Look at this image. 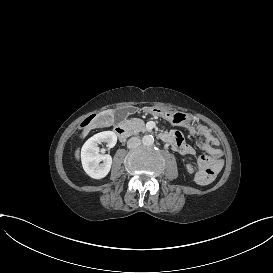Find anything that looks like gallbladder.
<instances>
[{
  "label": "gallbladder",
  "instance_id": "gallbladder-1",
  "mask_svg": "<svg viewBox=\"0 0 273 273\" xmlns=\"http://www.w3.org/2000/svg\"><path fill=\"white\" fill-rule=\"evenodd\" d=\"M137 111L135 106L125 108H119L116 110V121L121 122L123 121L127 114H133Z\"/></svg>",
  "mask_w": 273,
  "mask_h": 273
}]
</instances>
